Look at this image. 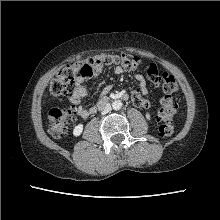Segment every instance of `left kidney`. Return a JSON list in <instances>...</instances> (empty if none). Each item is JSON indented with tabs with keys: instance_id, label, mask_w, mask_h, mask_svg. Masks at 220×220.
Returning a JSON list of instances; mask_svg holds the SVG:
<instances>
[{
	"instance_id": "1",
	"label": "left kidney",
	"mask_w": 220,
	"mask_h": 220,
	"mask_svg": "<svg viewBox=\"0 0 220 220\" xmlns=\"http://www.w3.org/2000/svg\"><path fill=\"white\" fill-rule=\"evenodd\" d=\"M146 118H147L148 120H150V114H149V113H146Z\"/></svg>"
}]
</instances>
